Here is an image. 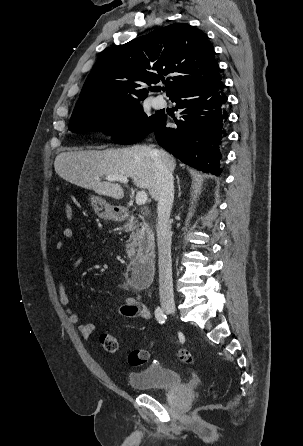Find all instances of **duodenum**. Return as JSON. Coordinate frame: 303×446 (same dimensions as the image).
<instances>
[{
  "mask_svg": "<svg viewBox=\"0 0 303 446\" xmlns=\"http://www.w3.org/2000/svg\"><path fill=\"white\" fill-rule=\"evenodd\" d=\"M129 216L127 210H121L119 212L120 219H126ZM155 262L150 256H140L134 258L129 266L128 279L132 287L136 289H142L148 286L154 275Z\"/></svg>",
  "mask_w": 303,
  "mask_h": 446,
  "instance_id": "410a0bca",
  "label": "duodenum"
}]
</instances>
